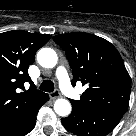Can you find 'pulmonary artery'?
Listing matches in <instances>:
<instances>
[{
  "label": "pulmonary artery",
  "mask_w": 136,
  "mask_h": 136,
  "mask_svg": "<svg viewBox=\"0 0 136 136\" xmlns=\"http://www.w3.org/2000/svg\"><path fill=\"white\" fill-rule=\"evenodd\" d=\"M56 76L59 80V85H60L61 90L68 97L75 98L77 96V93L70 84V80H69L65 67L59 66L56 70Z\"/></svg>",
  "instance_id": "obj_1"
}]
</instances>
